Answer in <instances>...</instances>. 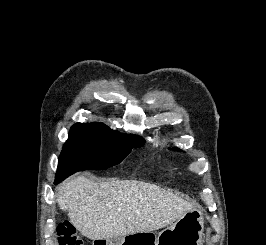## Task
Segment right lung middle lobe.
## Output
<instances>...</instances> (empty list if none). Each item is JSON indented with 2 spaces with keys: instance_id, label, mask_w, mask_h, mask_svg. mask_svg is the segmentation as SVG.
<instances>
[{
  "instance_id": "1",
  "label": "right lung middle lobe",
  "mask_w": 266,
  "mask_h": 245,
  "mask_svg": "<svg viewBox=\"0 0 266 245\" xmlns=\"http://www.w3.org/2000/svg\"><path fill=\"white\" fill-rule=\"evenodd\" d=\"M144 142L139 136L120 134L103 123H77L59 157L56 178L63 180L77 171L115 166Z\"/></svg>"
}]
</instances>
